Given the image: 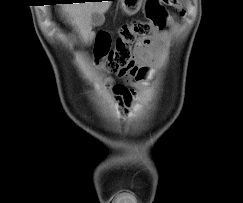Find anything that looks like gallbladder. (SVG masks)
<instances>
[{"label": "gallbladder", "mask_w": 243, "mask_h": 203, "mask_svg": "<svg viewBox=\"0 0 243 203\" xmlns=\"http://www.w3.org/2000/svg\"><path fill=\"white\" fill-rule=\"evenodd\" d=\"M105 21L104 15L94 12L92 14V24L94 26H102Z\"/></svg>", "instance_id": "obj_1"}]
</instances>
